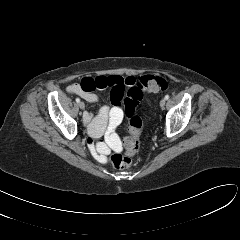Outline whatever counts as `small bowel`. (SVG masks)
I'll return each mask as SVG.
<instances>
[{"instance_id": "1", "label": "small bowel", "mask_w": 240, "mask_h": 240, "mask_svg": "<svg viewBox=\"0 0 240 240\" xmlns=\"http://www.w3.org/2000/svg\"><path fill=\"white\" fill-rule=\"evenodd\" d=\"M136 84L133 76L122 77L117 75L85 77L80 83L69 86L71 93L80 95L90 103L98 100L95 90L111 88L112 107L104 105L99 114L93 118L91 114L85 113L84 122L92 138L100 137L106 129L114 130L123 120V111L120 107L125 93Z\"/></svg>"}]
</instances>
